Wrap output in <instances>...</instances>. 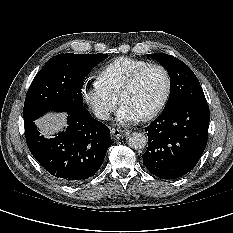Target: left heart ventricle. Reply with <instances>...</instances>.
I'll use <instances>...</instances> for the list:
<instances>
[{
    "label": "left heart ventricle",
    "mask_w": 233,
    "mask_h": 233,
    "mask_svg": "<svg viewBox=\"0 0 233 233\" xmlns=\"http://www.w3.org/2000/svg\"><path fill=\"white\" fill-rule=\"evenodd\" d=\"M165 89L164 73L157 68H150L143 73L134 88L124 96L122 104L141 118L160 102Z\"/></svg>",
    "instance_id": "1"
}]
</instances>
